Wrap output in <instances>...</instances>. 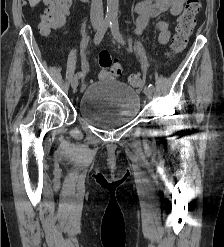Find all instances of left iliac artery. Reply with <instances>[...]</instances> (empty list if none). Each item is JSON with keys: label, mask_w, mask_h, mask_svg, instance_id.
Wrapping results in <instances>:
<instances>
[{"label": "left iliac artery", "mask_w": 224, "mask_h": 247, "mask_svg": "<svg viewBox=\"0 0 224 247\" xmlns=\"http://www.w3.org/2000/svg\"><path fill=\"white\" fill-rule=\"evenodd\" d=\"M110 27H111L112 34L114 35V38L119 43H121L122 45H124L125 42H124V39H123L122 35L120 34V31H119V23H118V19L117 18L111 19V25H110ZM148 87H150L152 90H154L153 84H149Z\"/></svg>", "instance_id": "obj_1"}]
</instances>
